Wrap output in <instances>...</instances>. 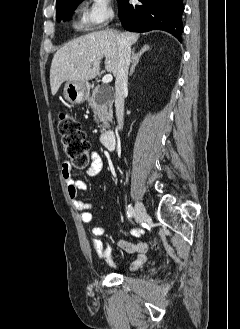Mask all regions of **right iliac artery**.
Segmentation results:
<instances>
[{
    "label": "right iliac artery",
    "mask_w": 240,
    "mask_h": 329,
    "mask_svg": "<svg viewBox=\"0 0 240 329\" xmlns=\"http://www.w3.org/2000/svg\"><path fill=\"white\" fill-rule=\"evenodd\" d=\"M134 208L131 205H128L127 207V216L128 218H132L134 216Z\"/></svg>",
    "instance_id": "right-iliac-artery-1"
}]
</instances>
